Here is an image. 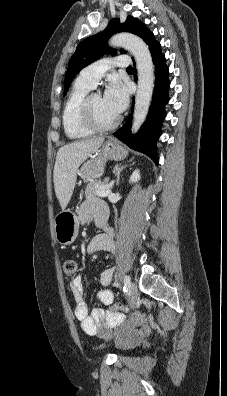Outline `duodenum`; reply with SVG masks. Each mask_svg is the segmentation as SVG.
Segmentation results:
<instances>
[{"mask_svg": "<svg viewBox=\"0 0 227 396\" xmlns=\"http://www.w3.org/2000/svg\"><path fill=\"white\" fill-rule=\"evenodd\" d=\"M106 217H103L102 219H100L99 221H98V226L99 227H105V225H106Z\"/></svg>", "mask_w": 227, "mask_h": 396, "instance_id": "duodenum-1", "label": "duodenum"}]
</instances>
